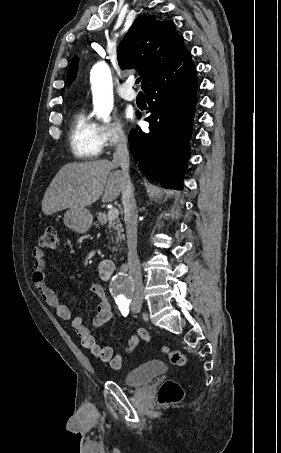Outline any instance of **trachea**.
I'll list each match as a JSON object with an SVG mask.
<instances>
[{"mask_svg":"<svg viewBox=\"0 0 281 453\" xmlns=\"http://www.w3.org/2000/svg\"><path fill=\"white\" fill-rule=\"evenodd\" d=\"M140 81H141V78L138 77V78L136 79V82H135V83H140ZM142 95H143V94L140 92V94L138 95V97H141Z\"/></svg>","mask_w":281,"mask_h":453,"instance_id":"obj_1","label":"trachea"}]
</instances>
